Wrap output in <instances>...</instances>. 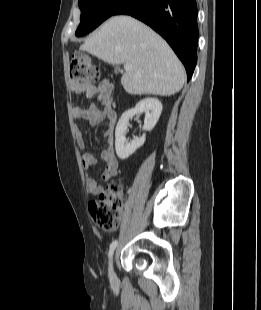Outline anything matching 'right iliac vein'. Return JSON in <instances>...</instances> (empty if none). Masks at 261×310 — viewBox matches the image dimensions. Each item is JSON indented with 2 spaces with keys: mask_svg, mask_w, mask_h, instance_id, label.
I'll list each match as a JSON object with an SVG mask.
<instances>
[{
  "mask_svg": "<svg viewBox=\"0 0 261 310\" xmlns=\"http://www.w3.org/2000/svg\"><path fill=\"white\" fill-rule=\"evenodd\" d=\"M109 277H110V280L112 282L116 281V275H115V271H114L113 259L111 260L110 266H109Z\"/></svg>",
  "mask_w": 261,
  "mask_h": 310,
  "instance_id": "obj_1",
  "label": "right iliac vein"
}]
</instances>
